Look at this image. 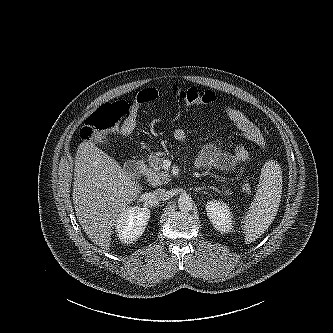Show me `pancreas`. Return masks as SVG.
<instances>
[{"instance_id":"pancreas-1","label":"pancreas","mask_w":333,"mask_h":333,"mask_svg":"<svg viewBox=\"0 0 333 333\" xmlns=\"http://www.w3.org/2000/svg\"><path fill=\"white\" fill-rule=\"evenodd\" d=\"M164 154L162 152H157L150 156L148 159L149 167L147 168L145 174L151 185H162L171 180L170 174L167 170L163 169V158ZM226 195L231 194L229 190L225 191Z\"/></svg>"}]
</instances>
